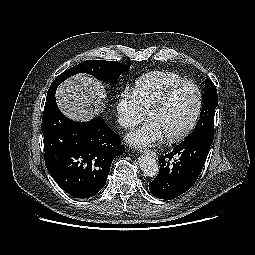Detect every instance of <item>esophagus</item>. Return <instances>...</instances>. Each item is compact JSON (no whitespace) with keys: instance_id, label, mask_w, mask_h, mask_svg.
Wrapping results in <instances>:
<instances>
[{"instance_id":"1","label":"esophagus","mask_w":255,"mask_h":255,"mask_svg":"<svg viewBox=\"0 0 255 255\" xmlns=\"http://www.w3.org/2000/svg\"><path fill=\"white\" fill-rule=\"evenodd\" d=\"M141 153H150V154H152L153 156H156V152L155 151H153V150H141L140 151Z\"/></svg>"}]
</instances>
